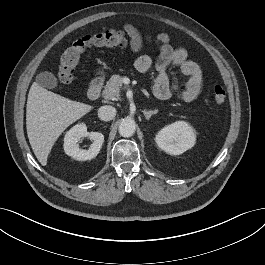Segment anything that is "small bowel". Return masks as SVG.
<instances>
[{
	"mask_svg": "<svg viewBox=\"0 0 265 265\" xmlns=\"http://www.w3.org/2000/svg\"><path fill=\"white\" fill-rule=\"evenodd\" d=\"M125 32L130 37V47L133 53L138 54L143 46V38L139 30L132 24L124 26ZM156 43L159 46V55L155 64L157 76L155 80L154 93L159 99H168L172 93H176L185 102L195 100L200 94L204 85V71L194 61L188 59V53L184 48H174L170 45L169 36L166 33H159L156 36ZM151 37H146L150 43ZM153 64L148 54H141L135 59V68L141 72H147ZM170 65L178 66L181 72L188 77L184 87L178 82H172L167 74Z\"/></svg>",
	"mask_w": 265,
	"mask_h": 265,
	"instance_id": "obj_1",
	"label": "small bowel"
}]
</instances>
